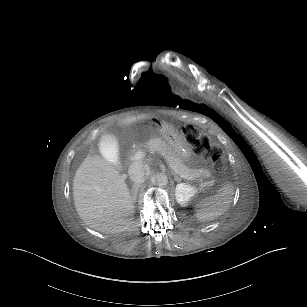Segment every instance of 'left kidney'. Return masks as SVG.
I'll use <instances>...</instances> for the list:
<instances>
[{
	"instance_id": "left-kidney-1",
	"label": "left kidney",
	"mask_w": 307,
	"mask_h": 307,
	"mask_svg": "<svg viewBox=\"0 0 307 307\" xmlns=\"http://www.w3.org/2000/svg\"><path fill=\"white\" fill-rule=\"evenodd\" d=\"M198 192L197 188L186 183H179L175 189V196L177 202L184 206L190 199Z\"/></svg>"
}]
</instances>
